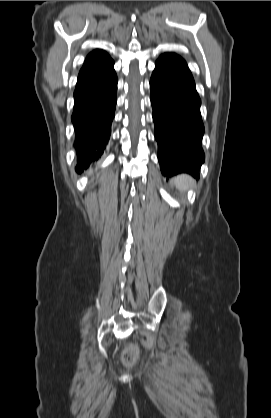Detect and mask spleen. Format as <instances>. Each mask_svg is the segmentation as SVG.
<instances>
[{
	"label": "spleen",
	"instance_id": "obj_1",
	"mask_svg": "<svg viewBox=\"0 0 271 418\" xmlns=\"http://www.w3.org/2000/svg\"><path fill=\"white\" fill-rule=\"evenodd\" d=\"M173 183L180 192L185 193L193 185L194 181L189 175L181 174L173 178Z\"/></svg>",
	"mask_w": 271,
	"mask_h": 418
}]
</instances>
